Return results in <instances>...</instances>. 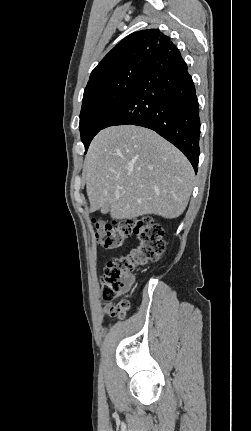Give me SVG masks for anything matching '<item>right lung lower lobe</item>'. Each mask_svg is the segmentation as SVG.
<instances>
[{"instance_id":"98d812e1","label":"right lung lower lobe","mask_w":251,"mask_h":431,"mask_svg":"<svg viewBox=\"0 0 251 431\" xmlns=\"http://www.w3.org/2000/svg\"><path fill=\"white\" fill-rule=\"evenodd\" d=\"M124 124L154 130L182 151L197 172L199 105L195 85L179 51L151 54L141 79L103 129Z\"/></svg>"}]
</instances>
